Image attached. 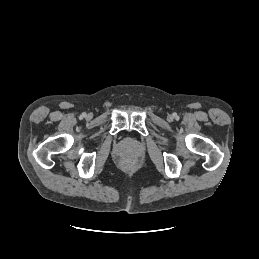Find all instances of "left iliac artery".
Returning a JSON list of instances; mask_svg holds the SVG:
<instances>
[{"instance_id":"obj_1","label":"left iliac artery","mask_w":259,"mask_h":259,"mask_svg":"<svg viewBox=\"0 0 259 259\" xmlns=\"http://www.w3.org/2000/svg\"><path fill=\"white\" fill-rule=\"evenodd\" d=\"M175 116V118H178V116L177 115H174Z\"/></svg>"}]
</instances>
